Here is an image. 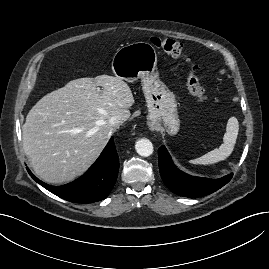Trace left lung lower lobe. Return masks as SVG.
Wrapping results in <instances>:
<instances>
[{"label": "left lung lower lobe", "mask_w": 269, "mask_h": 269, "mask_svg": "<svg viewBox=\"0 0 269 269\" xmlns=\"http://www.w3.org/2000/svg\"><path fill=\"white\" fill-rule=\"evenodd\" d=\"M158 160L163 182L172 192L184 197H201L211 194L227 184L233 176L231 173L213 180L185 174L173 164L164 146L158 150Z\"/></svg>", "instance_id": "1"}]
</instances>
